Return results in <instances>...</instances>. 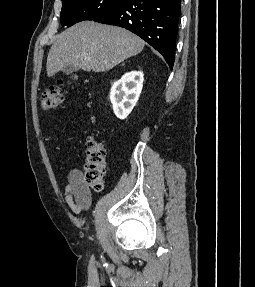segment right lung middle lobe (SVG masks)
Here are the masks:
<instances>
[{"instance_id":"1","label":"right lung middle lobe","mask_w":255,"mask_h":287,"mask_svg":"<svg viewBox=\"0 0 255 287\" xmlns=\"http://www.w3.org/2000/svg\"><path fill=\"white\" fill-rule=\"evenodd\" d=\"M125 0H62L60 21L62 26H72L84 20H93L104 11Z\"/></svg>"}]
</instances>
